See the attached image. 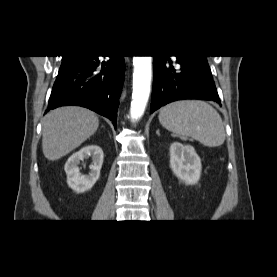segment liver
<instances>
[{"instance_id":"1","label":"liver","mask_w":277,"mask_h":277,"mask_svg":"<svg viewBox=\"0 0 277 277\" xmlns=\"http://www.w3.org/2000/svg\"><path fill=\"white\" fill-rule=\"evenodd\" d=\"M99 126L97 115L82 107L67 106L48 113L42 126V150L50 160H58L79 147Z\"/></svg>"}]
</instances>
